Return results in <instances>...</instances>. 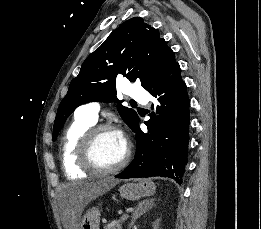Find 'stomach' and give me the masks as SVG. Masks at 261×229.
<instances>
[{"label": "stomach", "instance_id": "obj_1", "mask_svg": "<svg viewBox=\"0 0 261 229\" xmlns=\"http://www.w3.org/2000/svg\"><path fill=\"white\" fill-rule=\"evenodd\" d=\"M155 189L154 183L149 179H139L138 183H126L119 191L123 199L138 201L141 197L154 195ZM100 217L99 209H89L82 219L81 229H99Z\"/></svg>", "mask_w": 261, "mask_h": 229}]
</instances>
